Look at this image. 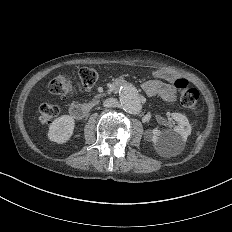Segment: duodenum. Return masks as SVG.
<instances>
[{
	"label": "duodenum",
	"mask_w": 232,
	"mask_h": 232,
	"mask_svg": "<svg viewBox=\"0 0 232 232\" xmlns=\"http://www.w3.org/2000/svg\"><path fill=\"white\" fill-rule=\"evenodd\" d=\"M124 83L123 80H117L114 82V87L118 88ZM90 111V107L85 104H74L69 108V114L72 118L76 120H81L85 118Z\"/></svg>",
	"instance_id": "obj_1"
}]
</instances>
